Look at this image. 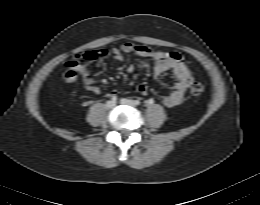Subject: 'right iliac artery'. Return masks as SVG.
I'll return each mask as SVG.
<instances>
[{
  "label": "right iliac artery",
  "instance_id": "82829eb1",
  "mask_svg": "<svg viewBox=\"0 0 260 205\" xmlns=\"http://www.w3.org/2000/svg\"><path fill=\"white\" fill-rule=\"evenodd\" d=\"M111 100H112L113 102H116V101H117V97H116L115 95H113V96L111 97Z\"/></svg>",
  "mask_w": 260,
  "mask_h": 205
}]
</instances>
